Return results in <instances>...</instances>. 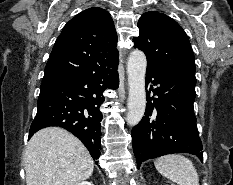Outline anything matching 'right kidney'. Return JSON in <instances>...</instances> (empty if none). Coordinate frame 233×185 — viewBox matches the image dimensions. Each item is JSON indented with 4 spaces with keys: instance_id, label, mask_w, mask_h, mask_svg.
Here are the masks:
<instances>
[{
    "instance_id": "1",
    "label": "right kidney",
    "mask_w": 233,
    "mask_h": 185,
    "mask_svg": "<svg viewBox=\"0 0 233 185\" xmlns=\"http://www.w3.org/2000/svg\"><path fill=\"white\" fill-rule=\"evenodd\" d=\"M77 185H94V184H92L91 182H88V181H83L81 183H78Z\"/></svg>"
}]
</instances>
